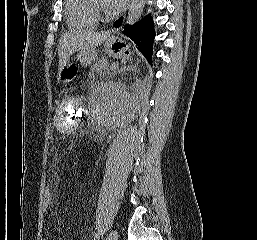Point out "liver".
<instances>
[{"label": "liver", "mask_w": 257, "mask_h": 240, "mask_svg": "<svg viewBox=\"0 0 257 240\" xmlns=\"http://www.w3.org/2000/svg\"><path fill=\"white\" fill-rule=\"evenodd\" d=\"M109 32H96L91 29L68 32L59 40V73L66 66L70 56L80 50H91L101 45L109 36Z\"/></svg>", "instance_id": "1"}]
</instances>
